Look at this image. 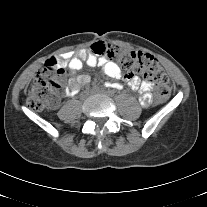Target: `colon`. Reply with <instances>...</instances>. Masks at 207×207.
I'll return each instance as SVG.
<instances>
[{"label":"colon","instance_id":"colon-1","mask_svg":"<svg viewBox=\"0 0 207 207\" xmlns=\"http://www.w3.org/2000/svg\"><path fill=\"white\" fill-rule=\"evenodd\" d=\"M97 55H104L118 63L125 78L141 76L147 84L158 85L155 102L163 103L170 95L169 78L158 61L150 54L118 46L99 43L92 46ZM56 57L48 59L36 75L27 98L28 106L35 111L53 108L59 98V77L65 74Z\"/></svg>","mask_w":207,"mask_h":207}]
</instances>
